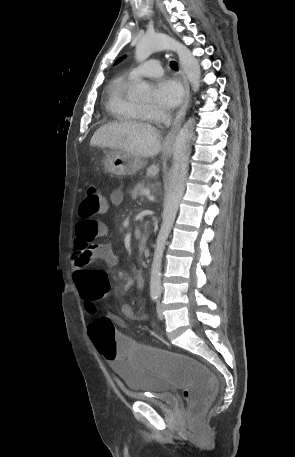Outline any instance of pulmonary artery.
Wrapping results in <instances>:
<instances>
[{"instance_id": "e3ab8cb5", "label": "pulmonary artery", "mask_w": 295, "mask_h": 457, "mask_svg": "<svg viewBox=\"0 0 295 457\" xmlns=\"http://www.w3.org/2000/svg\"><path fill=\"white\" fill-rule=\"evenodd\" d=\"M163 70L158 60L152 59L146 63L130 70L129 78L136 79L139 77H158L162 75Z\"/></svg>"}]
</instances>
